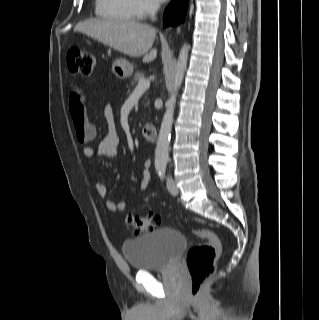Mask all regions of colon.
<instances>
[{
    "mask_svg": "<svg viewBox=\"0 0 319 320\" xmlns=\"http://www.w3.org/2000/svg\"><path fill=\"white\" fill-rule=\"evenodd\" d=\"M67 63L72 73L88 76L93 70L94 57L89 52L72 48L67 54ZM74 127L76 138L80 143L88 142L93 138L92 130L84 123L74 122ZM160 223V217L155 214L146 216L130 214L127 218V224L134 235L155 229ZM193 233L196 237L206 240L205 243L191 247L186 255V264L191 276L189 293L192 297H198L203 284L215 271L222 244L219 236L210 230L196 229Z\"/></svg>",
    "mask_w": 319,
    "mask_h": 320,
    "instance_id": "obj_1",
    "label": "colon"
}]
</instances>
